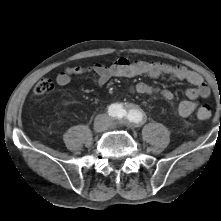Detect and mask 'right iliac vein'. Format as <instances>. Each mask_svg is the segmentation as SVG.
<instances>
[{
	"mask_svg": "<svg viewBox=\"0 0 221 221\" xmlns=\"http://www.w3.org/2000/svg\"><path fill=\"white\" fill-rule=\"evenodd\" d=\"M106 128V124L102 119H98L94 124V130L96 132H102Z\"/></svg>",
	"mask_w": 221,
	"mask_h": 221,
	"instance_id": "right-iliac-vein-1",
	"label": "right iliac vein"
}]
</instances>
